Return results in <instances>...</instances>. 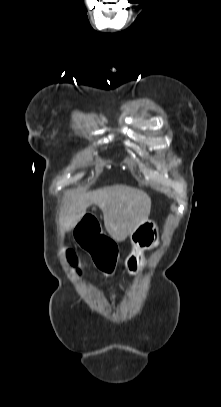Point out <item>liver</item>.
Here are the masks:
<instances>
[{"mask_svg":"<svg viewBox=\"0 0 221 407\" xmlns=\"http://www.w3.org/2000/svg\"><path fill=\"white\" fill-rule=\"evenodd\" d=\"M92 204L103 212L105 229L115 242L130 236L148 219L151 209V199L145 192L115 185L78 196L69 207L67 225L75 227Z\"/></svg>","mask_w":221,"mask_h":407,"instance_id":"obj_1","label":"liver"}]
</instances>
